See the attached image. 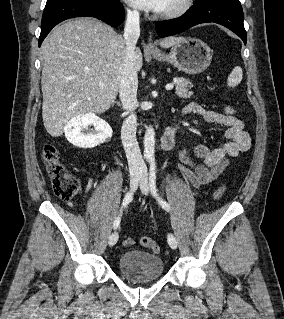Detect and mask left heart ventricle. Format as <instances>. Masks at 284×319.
Returning <instances> with one entry per match:
<instances>
[{"mask_svg":"<svg viewBox=\"0 0 284 319\" xmlns=\"http://www.w3.org/2000/svg\"><path fill=\"white\" fill-rule=\"evenodd\" d=\"M180 0H166L163 9L160 12L167 11L179 3Z\"/></svg>","mask_w":284,"mask_h":319,"instance_id":"b2bd125f","label":"left heart ventricle"}]
</instances>
